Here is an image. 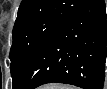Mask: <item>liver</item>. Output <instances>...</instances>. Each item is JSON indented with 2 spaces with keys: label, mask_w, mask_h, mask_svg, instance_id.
<instances>
[{
  "label": "liver",
  "mask_w": 107,
  "mask_h": 89,
  "mask_svg": "<svg viewBox=\"0 0 107 89\" xmlns=\"http://www.w3.org/2000/svg\"><path fill=\"white\" fill-rule=\"evenodd\" d=\"M56 86L55 84L53 85H47V86H44L43 89H54L52 87Z\"/></svg>",
  "instance_id": "liver-1"
}]
</instances>
